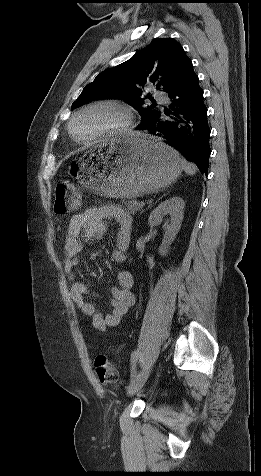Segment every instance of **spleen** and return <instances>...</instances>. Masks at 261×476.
<instances>
[{"mask_svg": "<svg viewBox=\"0 0 261 476\" xmlns=\"http://www.w3.org/2000/svg\"><path fill=\"white\" fill-rule=\"evenodd\" d=\"M181 164L187 174L194 175L196 173L197 167L194 164L187 162L185 159H181Z\"/></svg>", "mask_w": 261, "mask_h": 476, "instance_id": "obj_1", "label": "spleen"}]
</instances>
